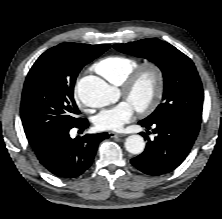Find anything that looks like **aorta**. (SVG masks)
Masks as SVG:
<instances>
[{
  "instance_id": "1",
  "label": "aorta",
  "mask_w": 222,
  "mask_h": 219,
  "mask_svg": "<svg viewBox=\"0 0 222 219\" xmlns=\"http://www.w3.org/2000/svg\"><path fill=\"white\" fill-rule=\"evenodd\" d=\"M79 99L89 107L99 108L109 105L114 100L112 88L97 76H86L79 80L76 87ZM125 148L131 154H141L145 142L140 135H131L126 138Z\"/></svg>"
}]
</instances>
